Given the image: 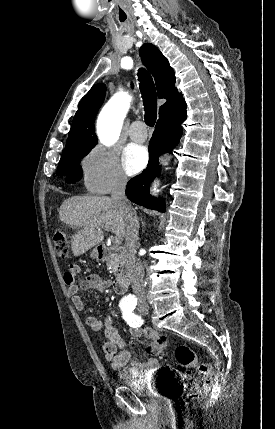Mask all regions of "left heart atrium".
Instances as JSON below:
<instances>
[{
	"mask_svg": "<svg viewBox=\"0 0 275 429\" xmlns=\"http://www.w3.org/2000/svg\"><path fill=\"white\" fill-rule=\"evenodd\" d=\"M148 161L147 150L139 145H130L123 155V164L126 172L130 175L140 172Z\"/></svg>",
	"mask_w": 275,
	"mask_h": 429,
	"instance_id": "obj_1",
	"label": "left heart atrium"
}]
</instances>
